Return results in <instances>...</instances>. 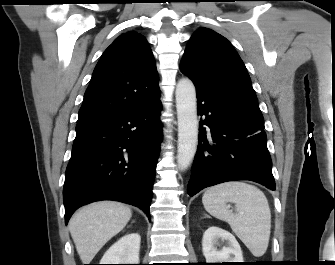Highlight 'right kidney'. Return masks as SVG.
I'll list each match as a JSON object with an SVG mask.
<instances>
[{
	"instance_id": "obj_1",
	"label": "right kidney",
	"mask_w": 335,
	"mask_h": 265,
	"mask_svg": "<svg viewBox=\"0 0 335 265\" xmlns=\"http://www.w3.org/2000/svg\"><path fill=\"white\" fill-rule=\"evenodd\" d=\"M140 241L138 233L124 235L105 252L100 264H139Z\"/></svg>"
}]
</instances>
